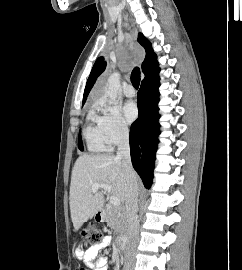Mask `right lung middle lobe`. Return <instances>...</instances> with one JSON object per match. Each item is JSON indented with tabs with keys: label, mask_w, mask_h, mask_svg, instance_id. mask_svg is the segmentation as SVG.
<instances>
[{
	"label": "right lung middle lobe",
	"mask_w": 242,
	"mask_h": 270,
	"mask_svg": "<svg viewBox=\"0 0 242 270\" xmlns=\"http://www.w3.org/2000/svg\"><path fill=\"white\" fill-rule=\"evenodd\" d=\"M78 148L83 151V144H82V140H81V137H80V134H79V138H78Z\"/></svg>",
	"instance_id": "obj_1"
}]
</instances>
